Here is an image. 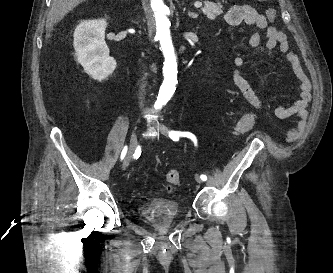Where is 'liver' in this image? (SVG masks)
<instances>
[{
  "label": "liver",
  "mask_w": 333,
  "mask_h": 273,
  "mask_svg": "<svg viewBox=\"0 0 333 273\" xmlns=\"http://www.w3.org/2000/svg\"><path fill=\"white\" fill-rule=\"evenodd\" d=\"M85 0H53L50 16L47 20V30L51 31L54 24L61 21L64 16ZM49 37V35H48Z\"/></svg>",
  "instance_id": "obj_1"
}]
</instances>
